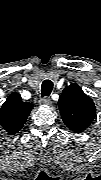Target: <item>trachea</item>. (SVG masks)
<instances>
[{
  "label": "trachea",
  "mask_w": 101,
  "mask_h": 180,
  "mask_svg": "<svg viewBox=\"0 0 101 180\" xmlns=\"http://www.w3.org/2000/svg\"><path fill=\"white\" fill-rule=\"evenodd\" d=\"M53 89V82L51 80H44L41 85V96L48 97Z\"/></svg>",
  "instance_id": "trachea-1"
}]
</instances>
